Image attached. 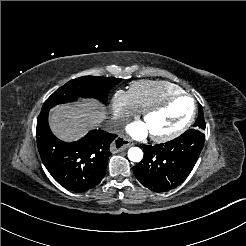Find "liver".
I'll list each match as a JSON object with an SVG mask.
<instances>
[{
	"label": "liver",
	"instance_id": "6515ba94",
	"mask_svg": "<svg viewBox=\"0 0 246 246\" xmlns=\"http://www.w3.org/2000/svg\"><path fill=\"white\" fill-rule=\"evenodd\" d=\"M106 119L104 107L94 100L56 107L50 116V127L64 141H75L85 135L87 129Z\"/></svg>",
	"mask_w": 246,
	"mask_h": 246
}]
</instances>
